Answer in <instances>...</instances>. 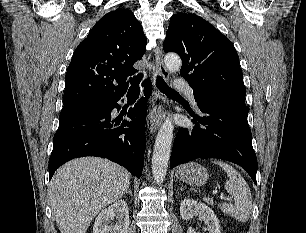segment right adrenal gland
<instances>
[{
  "mask_svg": "<svg viewBox=\"0 0 306 233\" xmlns=\"http://www.w3.org/2000/svg\"><path fill=\"white\" fill-rule=\"evenodd\" d=\"M126 193H128V194L132 195V191H131V189H130V188H128V190L126 191Z\"/></svg>",
  "mask_w": 306,
  "mask_h": 233,
  "instance_id": "1",
  "label": "right adrenal gland"
}]
</instances>
